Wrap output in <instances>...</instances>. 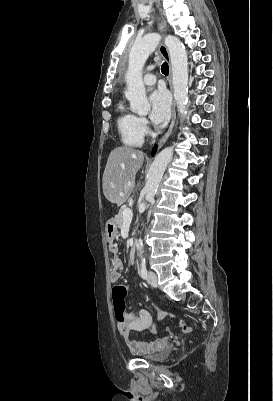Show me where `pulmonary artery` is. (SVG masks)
<instances>
[{
	"label": "pulmonary artery",
	"instance_id": "e3ab8cb5",
	"mask_svg": "<svg viewBox=\"0 0 273 401\" xmlns=\"http://www.w3.org/2000/svg\"><path fill=\"white\" fill-rule=\"evenodd\" d=\"M147 69H150V66H147ZM145 81L147 83H155L157 81V76L155 74H149V71H146Z\"/></svg>",
	"mask_w": 273,
	"mask_h": 401
}]
</instances>
